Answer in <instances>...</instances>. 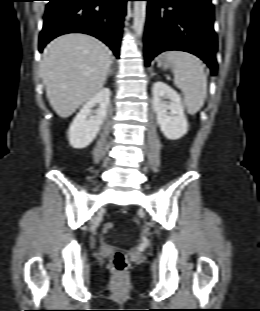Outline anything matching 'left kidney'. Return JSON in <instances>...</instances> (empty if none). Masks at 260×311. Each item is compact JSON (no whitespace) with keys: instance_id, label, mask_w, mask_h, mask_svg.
Masks as SVG:
<instances>
[{"instance_id":"left-kidney-1","label":"left kidney","mask_w":260,"mask_h":311,"mask_svg":"<svg viewBox=\"0 0 260 311\" xmlns=\"http://www.w3.org/2000/svg\"><path fill=\"white\" fill-rule=\"evenodd\" d=\"M152 94V107L164 136L170 140L183 137L188 131V122L180 95L163 82L153 84ZM165 99H169L170 102L164 101Z\"/></svg>"}]
</instances>
